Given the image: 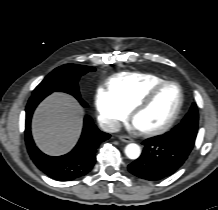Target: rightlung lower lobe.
Wrapping results in <instances>:
<instances>
[{
  "label": "right lung lower lobe",
  "mask_w": 218,
  "mask_h": 210,
  "mask_svg": "<svg viewBox=\"0 0 218 210\" xmlns=\"http://www.w3.org/2000/svg\"><path fill=\"white\" fill-rule=\"evenodd\" d=\"M47 95L31 96L26 106L25 142L28 153L35 165L47 176L59 181H69L86 175L96 161L98 145L110 137L100 131L89 116L84 119V127L80 140L74 149L66 155L51 157L42 153L36 146L31 135V118L37 105ZM78 101L86 107L80 97Z\"/></svg>",
  "instance_id": "right-lung-lower-lobe-1"
}]
</instances>
